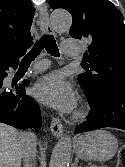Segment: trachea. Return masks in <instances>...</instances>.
<instances>
[{
	"instance_id": "obj_1",
	"label": "trachea",
	"mask_w": 125,
	"mask_h": 167,
	"mask_svg": "<svg viewBox=\"0 0 125 167\" xmlns=\"http://www.w3.org/2000/svg\"><path fill=\"white\" fill-rule=\"evenodd\" d=\"M43 48H45L50 55L59 56L54 37L52 35H44L22 59L20 65H29L40 54Z\"/></svg>"
}]
</instances>
